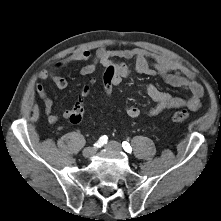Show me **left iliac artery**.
<instances>
[{
	"instance_id": "obj_1",
	"label": "left iliac artery",
	"mask_w": 221,
	"mask_h": 221,
	"mask_svg": "<svg viewBox=\"0 0 221 221\" xmlns=\"http://www.w3.org/2000/svg\"><path fill=\"white\" fill-rule=\"evenodd\" d=\"M122 147L127 153L132 152V147L130 146V144L128 142H126V141L122 142Z\"/></svg>"
}]
</instances>
